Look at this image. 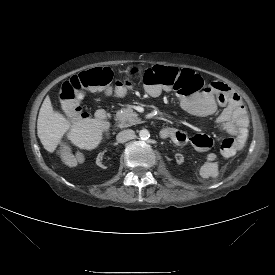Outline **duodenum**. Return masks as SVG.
<instances>
[{
    "label": "duodenum",
    "mask_w": 275,
    "mask_h": 275,
    "mask_svg": "<svg viewBox=\"0 0 275 275\" xmlns=\"http://www.w3.org/2000/svg\"><path fill=\"white\" fill-rule=\"evenodd\" d=\"M69 115H70V116H73V113L70 112ZM96 117H97V119H99V120L105 119V118L107 117L106 111H105L104 109H99V110H97V112H96ZM161 131L164 132L163 130H161Z\"/></svg>",
    "instance_id": "1"
}]
</instances>
